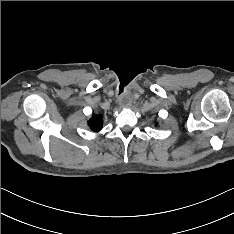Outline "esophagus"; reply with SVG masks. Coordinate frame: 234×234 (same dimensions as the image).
Listing matches in <instances>:
<instances>
[{
  "label": "esophagus",
  "instance_id": "obj_1",
  "mask_svg": "<svg viewBox=\"0 0 234 234\" xmlns=\"http://www.w3.org/2000/svg\"><path fill=\"white\" fill-rule=\"evenodd\" d=\"M120 104H121V106H123V107H129L130 102H129L128 99L123 98V99L120 100Z\"/></svg>",
  "mask_w": 234,
  "mask_h": 234
}]
</instances>
